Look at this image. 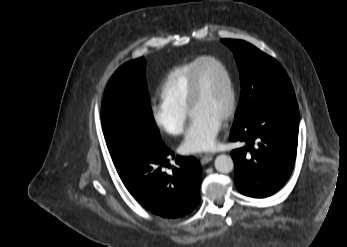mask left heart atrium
<instances>
[{
    "label": "left heart atrium",
    "instance_id": "39dd6f15",
    "mask_svg": "<svg viewBox=\"0 0 347 247\" xmlns=\"http://www.w3.org/2000/svg\"><path fill=\"white\" fill-rule=\"evenodd\" d=\"M222 128V119L206 114L192 117V121L180 144V151L185 155L211 150Z\"/></svg>",
    "mask_w": 347,
    "mask_h": 247
}]
</instances>
